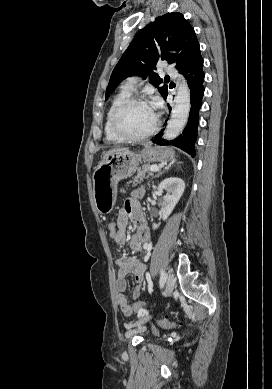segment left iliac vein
I'll use <instances>...</instances> for the list:
<instances>
[{"instance_id":"left-iliac-vein-1","label":"left iliac vein","mask_w":272,"mask_h":389,"mask_svg":"<svg viewBox=\"0 0 272 389\" xmlns=\"http://www.w3.org/2000/svg\"><path fill=\"white\" fill-rule=\"evenodd\" d=\"M174 285H175V278H174V275L169 273L166 277V281H165V291H164V295L165 296H169L173 289H174ZM149 319V317H144L142 319H140L139 321H137L134 326H141L143 325L145 322H147Z\"/></svg>"}]
</instances>
